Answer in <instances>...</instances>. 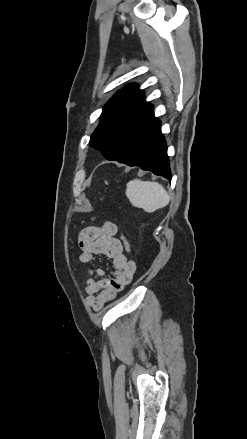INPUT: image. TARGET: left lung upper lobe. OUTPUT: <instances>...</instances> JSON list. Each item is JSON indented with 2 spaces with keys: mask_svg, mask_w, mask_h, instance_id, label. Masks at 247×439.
I'll use <instances>...</instances> for the list:
<instances>
[{
  "mask_svg": "<svg viewBox=\"0 0 247 439\" xmlns=\"http://www.w3.org/2000/svg\"><path fill=\"white\" fill-rule=\"evenodd\" d=\"M153 116V107L144 101L143 92L131 84L105 105L90 146L101 150L106 159L122 163L137 134Z\"/></svg>",
  "mask_w": 247,
  "mask_h": 439,
  "instance_id": "5c2ea615",
  "label": "left lung upper lobe"
}]
</instances>
